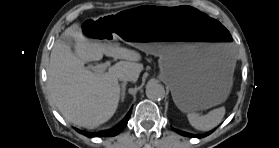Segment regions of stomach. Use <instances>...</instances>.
I'll return each mask as SVG.
<instances>
[{"instance_id":"1","label":"stomach","mask_w":279,"mask_h":148,"mask_svg":"<svg viewBox=\"0 0 279 148\" xmlns=\"http://www.w3.org/2000/svg\"><path fill=\"white\" fill-rule=\"evenodd\" d=\"M80 35L89 44L120 39L159 56L160 78L182 112L218 105L230 92L237 43L227 27L196 8L133 5L87 17Z\"/></svg>"}]
</instances>
